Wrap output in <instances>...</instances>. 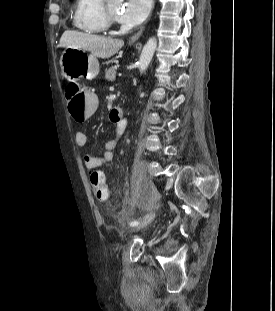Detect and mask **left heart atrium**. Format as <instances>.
Returning <instances> with one entry per match:
<instances>
[{"mask_svg":"<svg viewBox=\"0 0 275 311\" xmlns=\"http://www.w3.org/2000/svg\"><path fill=\"white\" fill-rule=\"evenodd\" d=\"M152 0H127L120 10L118 19L127 27H133L142 23L151 7Z\"/></svg>","mask_w":275,"mask_h":311,"instance_id":"left-heart-atrium-1","label":"left heart atrium"}]
</instances>
